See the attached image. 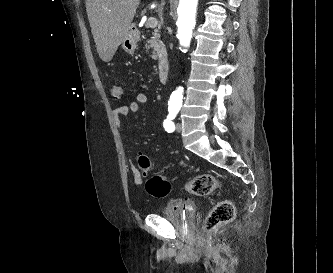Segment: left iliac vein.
I'll list each match as a JSON object with an SVG mask.
<instances>
[{"label": "left iliac vein", "instance_id": "4c4485c4", "mask_svg": "<svg viewBox=\"0 0 333 273\" xmlns=\"http://www.w3.org/2000/svg\"><path fill=\"white\" fill-rule=\"evenodd\" d=\"M176 130H177L178 132H181V131H182V124H181V123H177V124H176Z\"/></svg>", "mask_w": 333, "mask_h": 273}]
</instances>
